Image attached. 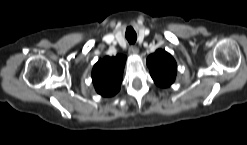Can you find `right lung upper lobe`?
<instances>
[{"mask_svg": "<svg viewBox=\"0 0 247 145\" xmlns=\"http://www.w3.org/2000/svg\"><path fill=\"white\" fill-rule=\"evenodd\" d=\"M125 61L126 57L123 55H117L116 57L107 56L94 65L92 80L96 91L100 95L110 97L119 91Z\"/></svg>", "mask_w": 247, "mask_h": 145, "instance_id": "right-lung-upper-lobe-1", "label": "right lung upper lobe"}]
</instances>
